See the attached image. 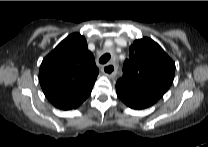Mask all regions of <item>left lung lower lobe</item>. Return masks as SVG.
<instances>
[{"mask_svg": "<svg viewBox=\"0 0 208 147\" xmlns=\"http://www.w3.org/2000/svg\"><path fill=\"white\" fill-rule=\"evenodd\" d=\"M116 91L118 97L130 108L133 109H144L151 105H153L155 102H157L158 98L128 88L122 84L116 83Z\"/></svg>", "mask_w": 208, "mask_h": 147, "instance_id": "left-lung-lower-lobe-1", "label": "left lung lower lobe"}]
</instances>
